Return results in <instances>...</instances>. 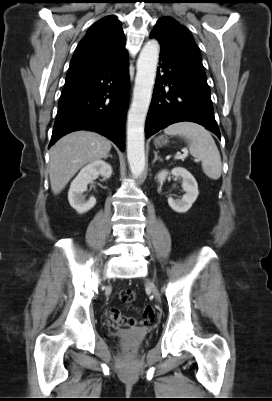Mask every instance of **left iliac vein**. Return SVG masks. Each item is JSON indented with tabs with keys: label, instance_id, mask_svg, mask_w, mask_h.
I'll list each match as a JSON object with an SVG mask.
<instances>
[{
	"label": "left iliac vein",
	"instance_id": "obj_1",
	"mask_svg": "<svg viewBox=\"0 0 272 401\" xmlns=\"http://www.w3.org/2000/svg\"><path fill=\"white\" fill-rule=\"evenodd\" d=\"M148 287L151 289V291H152V293L154 294V296H155L157 299H159V298H160V294H159V292H158L156 286H155L153 283L148 282Z\"/></svg>",
	"mask_w": 272,
	"mask_h": 401
}]
</instances>
